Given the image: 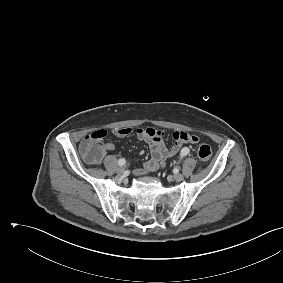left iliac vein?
I'll return each mask as SVG.
<instances>
[{"instance_id": "left-iliac-vein-1", "label": "left iliac vein", "mask_w": 283, "mask_h": 283, "mask_svg": "<svg viewBox=\"0 0 283 283\" xmlns=\"http://www.w3.org/2000/svg\"><path fill=\"white\" fill-rule=\"evenodd\" d=\"M173 179L176 181V182H181L184 180V176L182 174H175L173 175Z\"/></svg>"}]
</instances>
